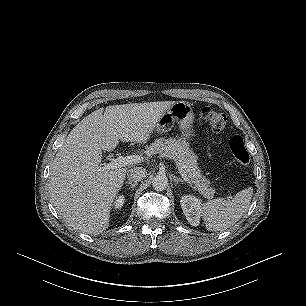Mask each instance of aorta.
I'll list each match as a JSON object with an SVG mask.
<instances>
[{
  "label": "aorta",
  "instance_id": "aorta-1",
  "mask_svg": "<svg viewBox=\"0 0 306 306\" xmlns=\"http://www.w3.org/2000/svg\"><path fill=\"white\" fill-rule=\"evenodd\" d=\"M153 188L157 191H163L168 186V178L164 174H158L153 178Z\"/></svg>",
  "mask_w": 306,
  "mask_h": 306
}]
</instances>
